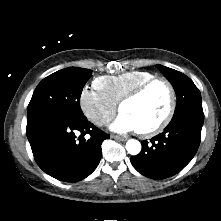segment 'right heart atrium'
Masks as SVG:
<instances>
[{
    "label": "right heart atrium",
    "mask_w": 221,
    "mask_h": 221,
    "mask_svg": "<svg viewBox=\"0 0 221 221\" xmlns=\"http://www.w3.org/2000/svg\"><path fill=\"white\" fill-rule=\"evenodd\" d=\"M79 103L86 118L96 126L107 124L117 110V104L96 88H84Z\"/></svg>",
    "instance_id": "obj_1"
}]
</instances>
